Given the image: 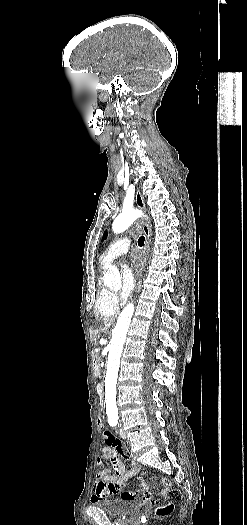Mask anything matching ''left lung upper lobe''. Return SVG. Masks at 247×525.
Instances as JSON below:
<instances>
[{"mask_svg": "<svg viewBox=\"0 0 247 525\" xmlns=\"http://www.w3.org/2000/svg\"><path fill=\"white\" fill-rule=\"evenodd\" d=\"M104 238H106V235H105V234H104V237H103V239H104Z\"/></svg>", "mask_w": 247, "mask_h": 525, "instance_id": "5c2ea615", "label": "left lung upper lobe"}]
</instances>
